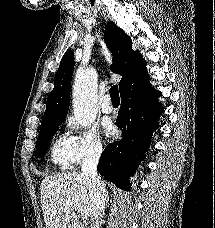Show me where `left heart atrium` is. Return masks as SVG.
I'll return each instance as SVG.
<instances>
[{"instance_id":"obj_1","label":"left heart atrium","mask_w":215,"mask_h":228,"mask_svg":"<svg viewBox=\"0 0 215 228\" xmlns=\"http://www.w3.org/2000/svg\"><path fill=\"white\" fill-rule=\"evenodd\" d=\"M106 131L109 135H114L116 133V128L112 124L106 126Z\"/></svg>"}]
</instances>
